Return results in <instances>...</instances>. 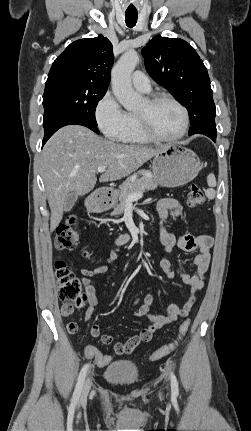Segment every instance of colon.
Returning a JSON list of instances; mask_svg holds the SVG:
<instances>
[{"label": "colon", "instance_id": "obj_1", "mask_svg": "<svg viewBox=\"0 0 251 431\" xmlns=\"http://www.w3.org/2000/svg\"><path fill=\"white\" fill-rule=\"evenodd\" d=\"M205 202V196L202 189L197 184H191L188 192V203L192 207H197ZM79 242V233L76 228V221L73 217L61 223L56 229L55 246L60 250H73ZM55 277L59 295L63 300L62 314L68 315L73 312L74 308H82L87 302L80 280L75 273L62 261L55 262ZM190 320L187 319L181 323L178 328L177 336L170 343L162 346L151 354L150 360H160L172 353L182 342L188 332ZM75 324H70V329H74ZM85 357L96 364L99 370L105 369L109 362L114 360L112 353H104L102 350H95L93 343L85 345Z\"/></svg>", "mask_w": 251, "mask_h": 431}]
</instances>
